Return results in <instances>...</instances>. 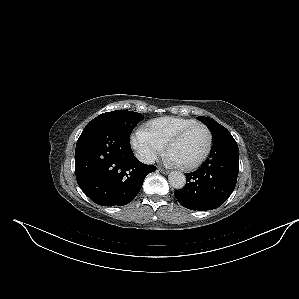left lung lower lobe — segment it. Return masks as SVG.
Masks as SVG:
<instances>
[{
	"mask_svg": "<svg viewBox=\"0 0 299 299\" xmlns=\"http://www.w3.org/2000/svg\"><path fill=\"white\" fill-rule=\"evenodd\" d=\"M238 172V145L229 131L220 133L213 137L209 158L197 171L186 174V186L174 195L188 209L218 208L233 192Z\"/></svg>",
	"mask_w": 299,
	"mask_h": 299,
	"instance_id": "obj_1",
	"label": "left lung lower lobe"
}]
</instances>
